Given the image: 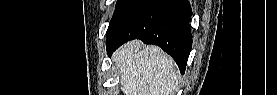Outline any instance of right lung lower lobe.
Wrapping results in <instances>:
<instances>
[{
	"label": "right lung lower lobe",
	"mask_w": 277,
	"mask_h": 95,
	"mask_svg": "<svg viewBox=\"0 0 277 95\" xmlns=\"http://www.w3.org/2000/svg\"><path fill=\"white\" fill-rule=\"evenodd\" d=\"M187 0H146L108 38L107 53L132 39L160 46L184 73L192 48Z\"/></svg>",
	"instance_id": "right-lung-lower-lobe-1"
}]
</instances>
